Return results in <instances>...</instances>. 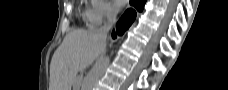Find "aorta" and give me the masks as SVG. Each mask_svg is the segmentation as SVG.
<instances>
[{
    "label": "aorta",
    "instance_id": "obj_1",
    "mask_svg": "<svg viewBox=\"0 0 228 90\" xmlns=\"http://www.w3.org/2000/svg\"><path fill=\"white\" fill-rule=\"evenodd\" d=\"M110 63V59L108 56L99 59L93 69L89 72V74L85 77L82 83V90H92L94 85L98 82V80L105 73L108 65Z\"/></svg>",
    "mask_w": 228,
    "mask_h": 90
}]
</instances>
